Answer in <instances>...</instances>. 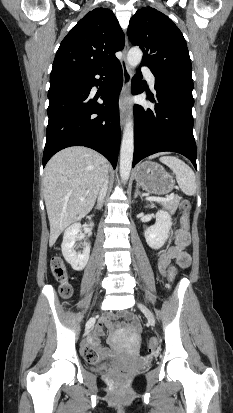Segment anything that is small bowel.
Listing matches in <instances>:
<instances>
[{"instance_id":"c3829d8e","label":"small bowel","mask_w":233,"mask_h":413,"mask_svg":"<svg viewBox=\"0 0 233 413\" xmlns=\"http://www.w3.org/2000/svg\"><path fill=\"white\" fill-rule=\"evenodd\" d=\"M173 245L169 246L158 253V263L157 269L159 273L163 276H168V271L170 269H176L171 265L172 260H176L177 264L185 268L190 264V255L187 252V246L189 245V235L182 232L180 229L176 230L172 236ZM125 319L124 325L131 331L132 337L130 342V352H136L138 346V332L140 329L138 319L132 313L126 311L123 314ZM114 315L109 314L108 316L102 318L97 325L95 332L89 336L86 343V356L89 354H94L97 357L99 354L109 355L110 352L103 349L100 345L99 337L104 334L105 328L113 327Z\"/></svg>"}]
</instances>
